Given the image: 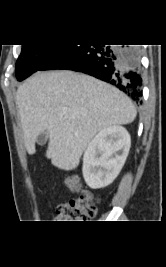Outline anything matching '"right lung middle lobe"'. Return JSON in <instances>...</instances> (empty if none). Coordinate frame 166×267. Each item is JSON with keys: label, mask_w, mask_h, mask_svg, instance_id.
Instances as JSON below:
<instances>
[{"label": "right lung middle lobe", "mask_w": 166, "mask_h": 267, "mask_svg": "<svg viewBox=\"0 0 166 267\" xmlns=\"http://www.w3.org/2000/svg\"><path fill=\"white\" fill-rule=\"evenodd\" d=\"M58 44L22 45L21 54L16 62V77L22 81L38 71L60 48Z\"/></svg>", "instance_id": "obj_1"}]
</instances>
